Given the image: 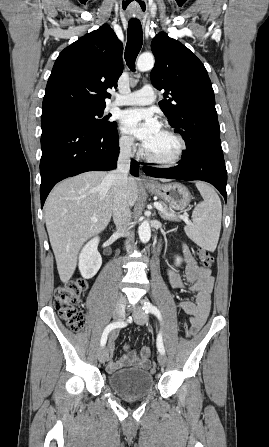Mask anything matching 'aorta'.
Here are the masks:
<instances>
[{
    "label": "aorta",
    "instance_id": "762f6f07",
    "mask_svg": "<svg viewBox=\"0 0 269 447\" xmlns=\"http://www.w3.org/2000/svg\"><path fill=\"white\" fill-rule=\"evenodd\" d=\"M154 64L155 60L152 54H141V56H139L137 60L136 68L137 70H139V72H148V70H152V68H154ZM138 233L143 243L149 241L151 237V229L150 224L149 222H147V220H144V222L139 225Z\"/></svg>",
    "mask_w": 269,
    "mask_h": 447
}]
</instances>
